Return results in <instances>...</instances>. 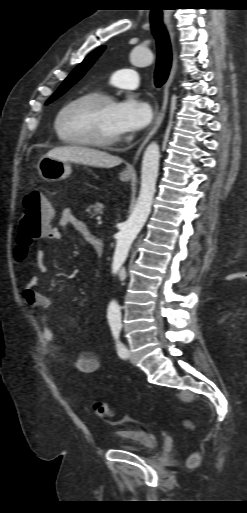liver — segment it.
I'll return each instance as SVG.
<instances>
[{"label":"liver","instance_id":"liver-1","mask_svg":"<svg viewBox=\"0 0 247 513\" xmlns=\"http://www.w3.org/2000/svg\"><path fill=\"white\" fill-rule=\"evenodd\" d=\"M46 156L56 158L64 162L72 161L98 168H111L122 162V159L117 156L84 146L53 148L48 151Z\"/></svg>","mask_w":247,"mask_h":513}]
</instances>
